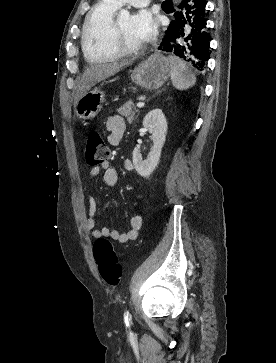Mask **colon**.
<instances>
[{
	"instance_id": "colon-1",
	"label": "colon",
	"mask_w": 276,
	"mask_h": 363,
	"mask_svg": "<svg viewBox=\"0 0 276 363\" xmlns=\"http://www.w3.org/2000/svg\"><path fill=\"white\" fill-rule=\"evenodd\" d=\"M109 150L98 131H90L86 139L85 157L89 165L99 166L106 162ZM93 256L103 280L112 286L122 277V268L112 243L106 238H98L93 245Z\"/></svg>"
}]
</instances>
